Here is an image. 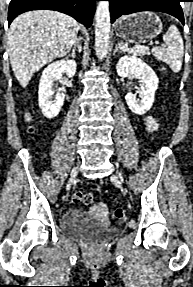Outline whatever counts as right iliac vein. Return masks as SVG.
I'll return each mask as SVG.
<instances>
[{
  "mask_svg": "<svg viewBox=\"0 0 193 287\" xmlns=\"http://www.w3.org/2000/svg\"><path fill=\"white\" fill-rule=\"evenodd\" d=\"M78 171H79V165L77 164L76 166H74V168L72 169V171L70 173V180H69V182L67 184V190L70 189L73 180L77 177Z\"/></svg>",
  "mask_w": 193,
  "mask_h": 287,
  "instance_id": "1",
  "label": "right iliac vein"
}]
</instances>
